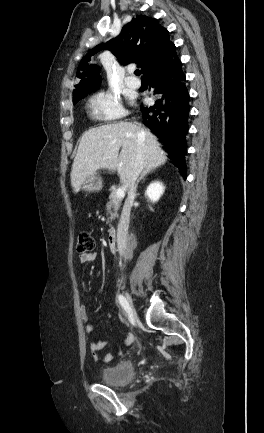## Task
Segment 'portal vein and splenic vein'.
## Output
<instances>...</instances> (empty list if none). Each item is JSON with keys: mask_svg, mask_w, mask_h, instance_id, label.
<instances>
[{"mask_svg": "<svg viewBox=\"0 0 264 433\" xmlns=\"http://www.w3.org/2000/svg\"><path fill=\"white\" fill-rule=\"evenodd\" d=\"M125 191H126V187H125V186H123V187H121V188H118V189L116 190V196H117L118 198H120V199L124 198V196H125Z\"/></svg>", "mask_w": 264, "mask_h": 433, "instance_id": "portal-vein-and-splenic-vein-1", "label": "portal vein and splenic vein"}]
</instances>
